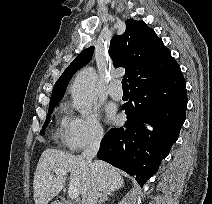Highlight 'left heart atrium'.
Listing matches in <instances>:
<instances>
[{
  "instance_id": "obj_1",
  "label": "left heart atrium",
  "mask_w": 212,
  "mask_h": 204,
  "mask_svg": "<svg viewBox=\"0 0 212 204\" xmlns=\"http://www.w3.org/2000/svg\"><path fill=\"white\" fill-rule=\"evenodd\" d=\"M106 116L109 121H114L116 118L115 110L112 107H107Z\"/></svg>"
}]
</instances>
